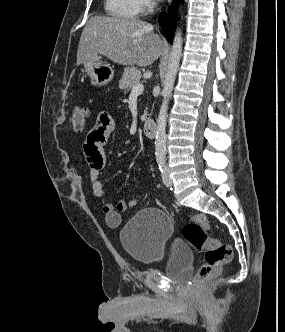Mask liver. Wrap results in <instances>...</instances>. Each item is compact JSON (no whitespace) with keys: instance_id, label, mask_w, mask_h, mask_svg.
Segmentation results:
<instances>
[{"instance_id":"liver-1","label":"liver","mask_w":285,"mask_h":332,"mask_svg":"<svg viewBox=\"0 0 285 332\" xmlns=\"http://www.w3.org/2000/svg\"><path fill=\"white\" fill-rule=\"evenodd\" d=\"M154 27L135 18L94 16L85 25L77 50V65L100 54L120 65L149 66L165 43Z\"/></svg>"}]
</instances>
